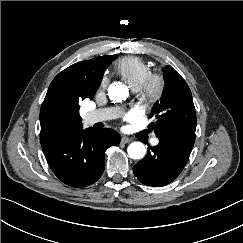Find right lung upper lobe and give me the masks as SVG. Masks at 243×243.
I'll use <instances>...</instances> for the list:
<instances>
[{
    "label": "right lung upper lobe",
    "mask_w": 243,
    "mask_h": 243,
    "mask_svg": "<svg viewBox=\"0 0 243 243\" xmlns=\"http://www.w3.org/2000/svg\"><path fill=\"white\" fill-rule=\"evenodd\" d=\"M112 58L75 63L53 79L40 110V139L82 128L79 102L94 97Z\"/></svg>",
    "instance_id": "1"
}]
</instances>
